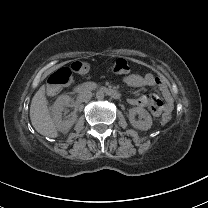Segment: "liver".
<instances>
[{
	"label": "liver",
	"instance_id": "obj_1",
	"mask_svg": "<svg viewBox=\"0 0 208 208\" xmlns=\"http://www.w3.org/2000/svg\"><path fill=\"white\" fill-rule=\"evenodd\" d=\"M45 96V86H41L32 98L30 105V119L35 130L41 135L56 138L57 129L49 114Z\"/></svg>",
	"mask_w": 208,
	"mask_h": 208
}]
</instances>
